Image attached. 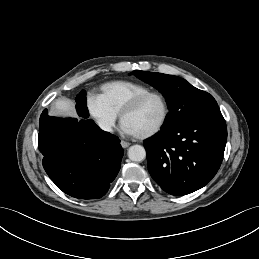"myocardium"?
<instances>
[{
	"label": "myocardium",
	"mask_w": 259,
	"mask_h": 259,
	"mask_svg": "<svg viewBox=\"0 0 259 259\" xmlns=\"http://www.w3.org/2000/svg\"><path fill=\"white\" fill-rule=\"evenodd\" d=\"M149 97H158L161 102L163 103V107H164V113L163 116L160 120V122L157 124V126H155L153 129H151L150 131L143 133V134H137L136 136L140 139H146V138H150L154 135H156L157 133H159L163 127L165 126L168 118H169V114H170V106H169V102L167 100V98L165 97L164 94H162L161 92L158 91H149L146 92L144 94H141L139 96H136L135 98H133L120 112V120L121 122L124 121V118L131 112H133L134 110H136L140 104L146 100Z\"/></svg>",
	"instance_id": "1"
}]
</instances>
